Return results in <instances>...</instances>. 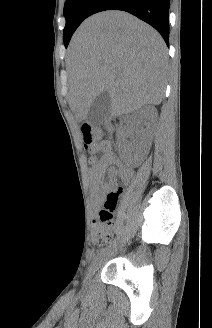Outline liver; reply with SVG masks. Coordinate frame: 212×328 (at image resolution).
<instances>
[{"instance_id": "obj_1", "label": "liver", "mask_w": 212, "mask_h": 328, "mask_svg": "<svg viewBox=\"0 0 212 328\" xmlns=\"http://www.w3.org/2000/svg\"><path fill=\"white\" fill-rule=\"evenodd\" d=\"M166 68L167 48L155 29L121 11L97 13L80 25L70 42L69 105L78 122L104 91L111 96L112 116L159 105Z\"/></svg>"}]
</instances>
